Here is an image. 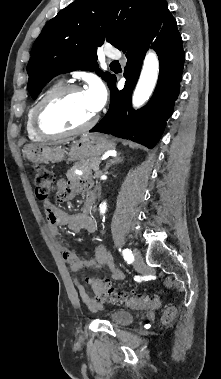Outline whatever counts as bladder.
<instances>
[{"mask_svg": "<svg viewBox=\"0 0 221 379\" xmlns=\"http://www.w3.org/2000/svg\"><path fill=\"white\" fill-rule=\"evenodd\" d=\"M107 319L117 326H126L132 323L134 316L126 310H114L107 314Z\"/></svg>", "mask_w": 221, "mask_h": 379, "instance_id": "obj_1", "label": "bladder"}]
</instances>
